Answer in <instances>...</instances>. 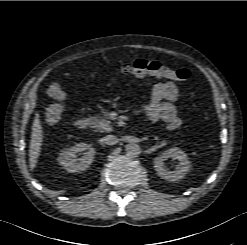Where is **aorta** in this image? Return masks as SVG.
I'll return each instance as SVG.
<instances>
[{
  "label": "aorta",
  "mask_w": 247,
  "mask_h": 245,
  "mask_svg": "<svg viewBox=\"0 0 247 245\" xmlns=\"http://www.w3.org/2000/svg\"><path fill=\"white\" fill-rule=\"evenodd\" d=\"M125 152L129 157H138L141 153V148L138 144L131 143L126 146Z\"/></svg>",
  "instance_id": "762f6f07"
}]
</instances>
